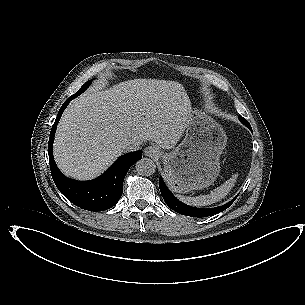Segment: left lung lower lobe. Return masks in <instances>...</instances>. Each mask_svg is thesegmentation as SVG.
Wrapping results in <instances>:
<instances>
[{
	"label": "left lung lower lobe",
	"mask_w": 305,
	"mask_h": 305,
	"mask_svg": "<svg viewBox=\"0 0 305 305\" xmlns=\"http://www.w3.org/2000/svg\"><path fill=\"white\" fill-rule=\"evenodd\" d=\"M159 187H160L161 195H162L164 201L166 202V204L169 206V208L173 209L174 211H177L178 210V207H177L178 203H182V202L177 200L172 195V193L167 189L166 185L163 182L162 177H160V179H159ZM235 199L236 198H234L233 200H231L230 202H228L227 204H225L223 206L206 209L207 210V215L212 216L214 214H217L219 212L224 211L234 202Z\"/></svg>",
	"instance_id": "1"
}]
</instances>
